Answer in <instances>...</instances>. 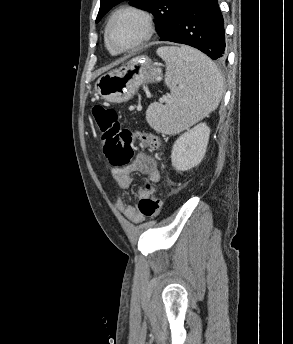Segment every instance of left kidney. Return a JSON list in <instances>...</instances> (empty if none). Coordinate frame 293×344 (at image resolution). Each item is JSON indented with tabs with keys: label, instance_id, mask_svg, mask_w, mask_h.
Returning a JSON list of instances; mask_svg holds the SVG:
<instances>
[{
	"label": "left kidney",
	"instance_id": "obj_1",
	"mask_svg": "<svg viewBox=\"0 0 293 344\" xmlns=\"http://www.w3.org/2000/svg\"><path fill=\"white\" fill-rule=\"evenodd\" d=\"M210 128L199 123L180 135L175 141L172 152V166L177 171H187L201 163L206 153Z\"/></svg>",
	"mask_w": 293,
	"mask_h": 344
}]
</instances>
